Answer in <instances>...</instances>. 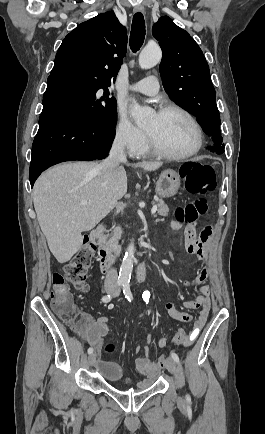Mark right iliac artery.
<instances>
[{"label":"right iliac artery","instance_id":"right-iliac-artery-1","mask_svg":"<svg viewBox=\"0 0 265 434\" xmlns=\"http://www.w3.org/2000/svg\"><path fill=\"white\" fill-rule=\"evenodd\" d=\"M117 284H118V286H123L124 285L123 282H118ZM111 299H112V295L111 294H107V295H104L101 300H102V302L108 303V302L111 301ZM87 352H88V354H92L93 353V348H91V347L88 348Z\"/></svg>","mask_w":265,"mask_h":434}]
</instances>
